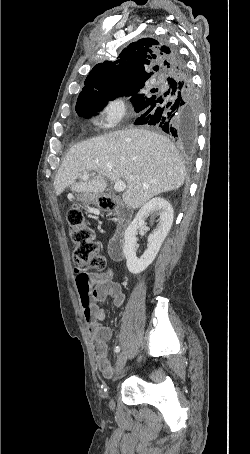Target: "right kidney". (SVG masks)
<instances>
[{
    "label": "right kidney",
    "mask_w": 250,
    "mask_h": 454,
    "mask_svg": "<svg viewBox=\"0 0 250 454\" xmlns=\"http://www.w3.org/2000/svg\"><path fill=\"white\" fill-rule=\"evenodd\" d=\"M159 215L156 229L148 237V248L138 258L136 256L137 230L145 226V220L149 216ZM173 224V208L171 204L161 197H155L148 201L138 211L136 217L125 231V243L123 253L126 258V266L129 272L139 274L144 271L155 259L163 241L168 235Z\"/></svg>",
    "instance_id": "obj_1"
}]
</instances>
